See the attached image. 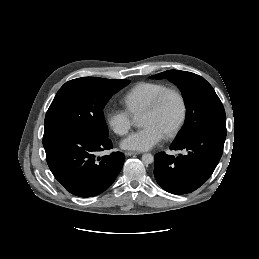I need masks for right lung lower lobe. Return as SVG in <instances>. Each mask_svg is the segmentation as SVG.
Returning <instances> with one entry per match:
<instances>
[{"label": "right lung lower lobe", "mask_w": 259, "mask_h": 259, "mask_svg": "<svg viewBox=\"0 0 259 259\" xmlns=\"http://www.w3.org/2000/svg\"><path fill=\"white\" fill-rule=\"evenodd\" d=\"M43 146L55 178L67 191L80 197L105 191L125 160L121 152L97 157L98 152L112 148L111 140L80 129L44 132Z\"/></svg>", "instance_id": "1"}]
</instances>
